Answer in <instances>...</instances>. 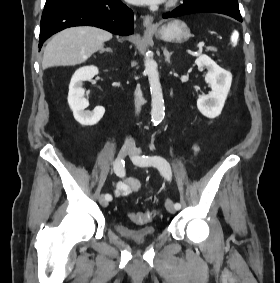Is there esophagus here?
I'll return each instance as SVG.
<instances>
[{"mask_svg": "<svg viewBox=\"0 0 280 283\" xmlns=\"http://www.w3.org/2000/svg\"><path fill=\"white\" fill-rule=\"evenodd\" d=\"M153 17L151 15H146L144 18H143V25L146 29H156L157 26L154 24L153 22Z\"/></svg>", "mask_w": 280, "mask_h": 283, "instance_id": "obj_1", "label": "esophagus"}]
</instances>
